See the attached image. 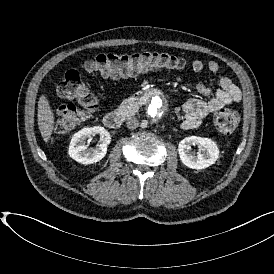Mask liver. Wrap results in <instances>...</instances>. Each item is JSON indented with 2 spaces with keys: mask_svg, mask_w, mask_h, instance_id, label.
Wrapping results in <instances>:
<instances>
[{
  "mask_svg": "<svg viewBox=\"0 0 274 274\" xmlns=\"http://www.w3.org/2000/svg\"><path fill=\"white\" fill-rule=\"evenodd\" d=\"M38 127L45 144L51 140L55 125V114L48 95L42 93L38 100Z\"/></svg>",
  "mask_w": 274,
  "mask_h": 274,
  "instance_id": "liver-1",
  "label": "liver"
}]
</instances>
